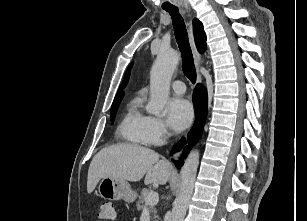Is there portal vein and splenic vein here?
<instances>
[{
    "label": "portal vein and splenic vein",
    "mask_w": 307,
    "mask_h": 221,
    "mask_svg": "<svg viewBox=\"0 0 307 221\" xmlns=\"http://www.w3.org/2000/svg\"><path fill=\"white\" fill-rule=\"evenodd\" d=\"M158 200L159 194L157 192H151L147 197L146 204L153 206L158 203Z\"/></svg>",
    "instance_id": "1"
}]
</instances>
